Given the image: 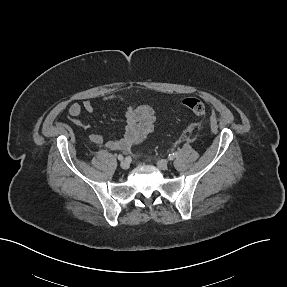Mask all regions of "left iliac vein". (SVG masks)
Listing matches in <instances>:
<instances>
[{
	"mask_svg": "<svg viewBox=\"0 0 287 287\" xmlns=\"http://www.w3.org/2000/svg\"><path fill=\"white\" fill-rule=\"evenodd\" d=\"M157 166L161 169V170H166L168 168V161L165 159H161L157 161Z\"/></svg>",
	"mask_w": 287,
	"mask_h": 287,
	"instance_id": "4c4485c4",
	"label": "left iliac vein"
}]
</instances>
